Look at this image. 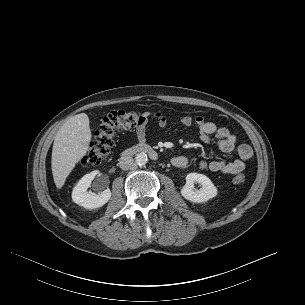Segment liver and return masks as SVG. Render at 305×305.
Here are the masks:
<instances>
[{
  "label": "liver",
  "instance_id": "obj_1",
  "mask_svg": "<svg viewBox=\"0 0 305 305\" xmlns=\"http://www.w3.org/2000/svg\"><path fill=\"white\" fill-rule=\"evenodd\" d=\"M92 134L87 114L69 118L57 132L52 149L51 168L57 189H61L76 164L86 155Z\"/></svg>",
  "mask_w": 305,
  "mask_h": 305
}]
</instances>
